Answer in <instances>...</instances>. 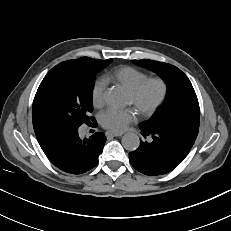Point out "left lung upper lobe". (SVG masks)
Listing matches in <instances>:
<instances>
[{"mask_svg": "<svg viewBox=\"0 0 231 231\" xmlns=\"http://www.w3.org/2000/svg\"><path fill=\"white\" fill-rule=\"evenodd\" d=\"M139 66L156 72L167 83L168 93L161 110L140 126L197 136L200 109L196 93L187 76L177 67L152 60H133Z\"/></svg>", "mask_w": 231, "mask_h": 231, "instance_id": "5c2ea615", "label": "left lung upper lobe"}]
</instances>
